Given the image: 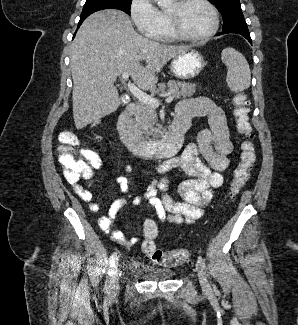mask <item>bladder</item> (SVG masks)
Here are the masks:
<instances>
[{
  "mask_svg": "<svg viewBox=\"0 0 298 325\" xmlns=\"http://www.w3.org/2000/svg\"><path fill=\"white\" fill-rule=\"evenodd\" d=\"M128 272L141 281L149 282L167 281L174 275L171 269L156 267L140 259H133L130 262Z\"/></svg>",
  "mask_w": 298,
  "mask_h": 325,
  "instance_id": "31cf9c89",
  "label": "bladder"
}]
</instances>
